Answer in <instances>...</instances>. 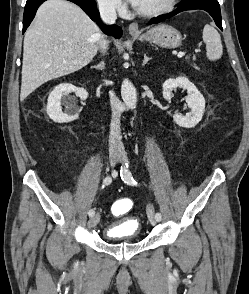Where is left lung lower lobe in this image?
I'll use <instances>...</instances> for the list:
<instances>
[{
    "label": "left lung lower lobe",
    "mask_w": 249,
    "mask_h": 294,
    "mask_svg": "<svg viewBox=\"0 0 249 294\" xmlns=\"http://www.w3.org/2000/svg\"><path fill=\"white\" fill-rule=\"evenodd\" d=\"M201 9L207 11L214 19L216 25L222 29L220 5L216 0H183L179 3V7L173 12L159 16L150 21V23H157L172 17L182 11Z\"/></svg>",
    "instance_id": "obj_1"
}]
</instances>
